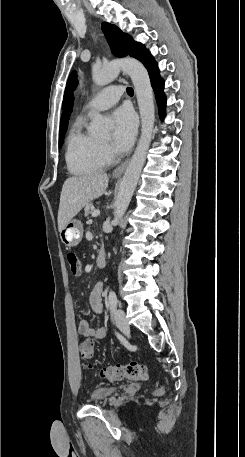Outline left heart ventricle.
Segmentation results:
<instances>
[{
	"label": "left heart ventricle",
	"instance_id": "1",
	"mask_svg": "<svg viewBox=\"0 0 245 457\" xmlns=\"http://www.w3.org/2000/svg\"><path fill=\"white\" fill-rule=\"evenodd\" d=\"M100 140H101L102 143L108 144L110 142V137L101 138Z\"/></svg>",
	"mask_w": 245,
	"mask_h": 457
}]
</instances>
